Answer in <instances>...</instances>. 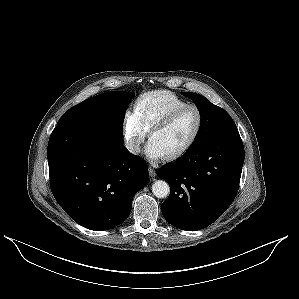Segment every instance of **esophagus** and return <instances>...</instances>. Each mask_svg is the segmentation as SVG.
<instances>
[{"label": "esophagus", "instance_id": "obj_1", "mask_svg": "<svg viewBox=\"0 0 299 299\" xmlns=\"http://www.w3.org/2000/svg\"><path fill=\"white\" fill-rule=\"evenodd\" d=\"M148 171H149V175L151 177H155L156 176V171H155V169L153 167L150 166L149 169H148Z\"/></svg>", "mask_w": 299, "mask_h": 299}]
</instances>
